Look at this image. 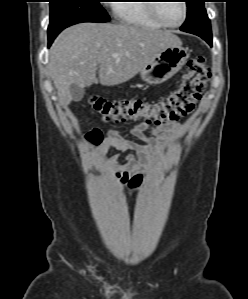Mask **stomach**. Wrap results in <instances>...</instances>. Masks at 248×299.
Wrapping results in <instances>:
<instances>
[{
	"label": "stomach",
	"mask_w": 248,
	"mask_h": 299,
	"mask_svg": "<svg viewBox=\"0 0 248 299\" xmlns=\"http://www.w3.org/2000/svg\"><path fill=\"white\" fill-rule=\"evenodd\" d=\"M188 57L187 49L181 45L170 46L140 71L141 79L150 85L161 84L175 75L186 63Z\"/></svg>",
	"instance_id": "obj_1"
}]
</instances>
